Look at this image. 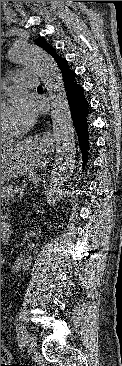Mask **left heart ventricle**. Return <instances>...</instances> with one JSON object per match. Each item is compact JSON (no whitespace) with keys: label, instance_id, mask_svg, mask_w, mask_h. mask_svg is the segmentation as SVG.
Segmentation results:
<instances>
[{"label":"left heart ventricle","instance_id":"1","mask_svg":"<svg viewBox=\"0 0 122 366\" xmlns=\"http://www.w3.org/2000/svg\"><path fill=\"white\" fill-rule=\"evenodd\" d=\"M16 131V123L8 111V106L1 107V136L14 135Z\"/></svg>","mask_w":122,"mask_h":366}]
</instances>
